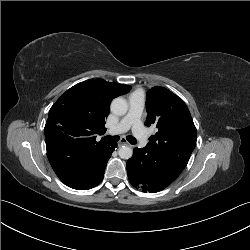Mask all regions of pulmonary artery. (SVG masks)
<instances>
[{
	"label": "pulmonary artery",
	"mask_w": 250,
	"mask_h": 250,
	"mask_svg": "<svg viewBox=\"0 0 250 250\" xmlns=\"http://www.w3.org/2000/svg\"><path fill=\"white\" fill-rule=\"evenodd\" d=\"M145 98L142 93L134 92L129 96V110L121 121L108 130L111 135L121 134L130 128L138 139L140 146L145 147L148 142L146 131L141 123V114L144 108Z\"/></svg>",
	"instance_id": "1"
}]
</instances>
